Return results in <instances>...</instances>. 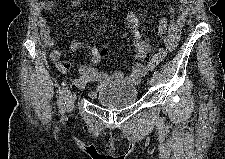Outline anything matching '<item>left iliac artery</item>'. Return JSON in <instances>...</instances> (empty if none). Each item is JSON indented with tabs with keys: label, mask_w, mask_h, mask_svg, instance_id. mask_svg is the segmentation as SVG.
I'll list each match as a JSON object with an SVG mask.
<instances>
[{
	"label": "left iliac artery",
	"mask_w": 225,
	"mask_h": 159,
	"mask_svg": "<svg viewBox=\"0 0 225 159\" xmlns=\"http://www.w3.org/2000/svg\"><path fill=\"white\" fill-rule=\"evenodd\" d=\"M153 76H154L155 78H158V77L160 76V73H159L158 71H155L154 74H153Z\"/></svg>",
	"instance_id": "left-iliac-artery-1"
}]
</instances>
